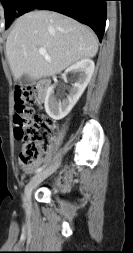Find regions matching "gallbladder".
<instances>
[{
	"label": "gallbladder",
	"mask_w": 133,
	"mask_h": 253,
	"mask_svg": "<svg viewBox=\"0 0 133 253\" xmlns=\"http://www.w3.org/2000/svg\"><path fill=\"white\" fill-rule=\"evenodd\" d=\"M34 82L32 78H30L28 75L24 74L18 79V84L21 86H28L31 85Z\"/></svg>",
	"instance_id": "gallbladder-1"
}]
</instances>
